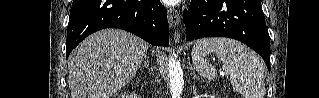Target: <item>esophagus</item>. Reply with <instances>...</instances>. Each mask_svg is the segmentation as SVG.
<instances>
[{"label":"esophagus","mask_w":319,"mask_h":98,"mask_svg":"<svg viewBox=\"0 0 319 98\" xmlns=\"http://www.w3.org/2000/svg\"><path fill=\"white\" fill-rule=\"evenodd\" d=\"M167 15H168L169 26L171 28H176L180 22V15H179L178 11L175 10L174 8H170L167 11ZM179 39H180V33L176 31L173 34V40L176 42Z\"/></svg>","instance_id":"obj_1"}]
</instances>
